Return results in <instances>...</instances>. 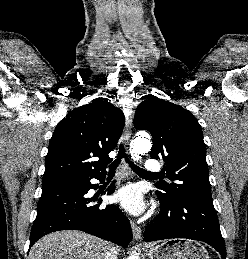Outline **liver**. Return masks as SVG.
I'll return each instance as SVG.
<instances>
[{
  "mask_svg": "<svg viewBox=\"0 0 248 259\" xmlns=\"http://www.w3.org/2000/svg\"><path fill=\"white\" fill-rule=\"evenodd\" d=\"M108 250L109 245L100 238L64 230L39 239L32 246L28 259H104Z\"/></svg>",
  "mask_w": 248,
  "mask_h": 259,
  "instance_id": "1",
  "label": "liver"
}]
</instances>
